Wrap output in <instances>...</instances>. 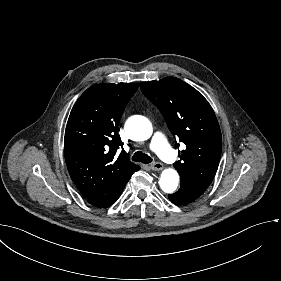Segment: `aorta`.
I'll return each instance as SVG.
<instances>
[{"instance_id":"1","label":"aorta","mask_w":281,"mask_h":281,"mask_svg":"<svg viewBox=\"0 0 281 281\" xmlns=\"http://www.w3.org/2000/svg\"><path fill=\"white\" fill-rule=\"evenodd\" d=\"M126 131L135 141H144L151 137L153 129L151 122L142 116H136L129 119L126 123ZM179 183V175L176 170L169 168L162 171L159 185L162 191L173 193Z\"/></svg>"}]
</instances>
